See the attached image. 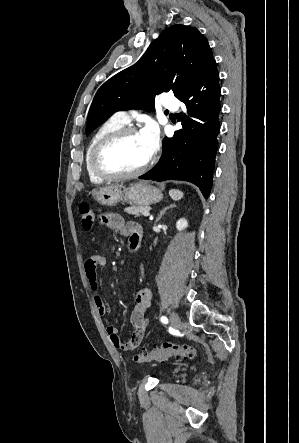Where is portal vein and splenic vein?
Listing matches in <instances>:
<instances>
[{
    "label": "portal vein and splenic vein",
    "instance_id": "obj_1",
    "mask_svg": "<svg viewBox=\"0 0 299 443\" xmlns=\"http://www.w3.org/2000/svg\"><path fill=\"white\" fill-rule=\"evenodd\" d=\"M143 216H145V217H148V216H150V213H149V211H144L143 213Z\"/></svg>",
    "mask_w": 299,
    "mask_h": 443
}]
</instances>
